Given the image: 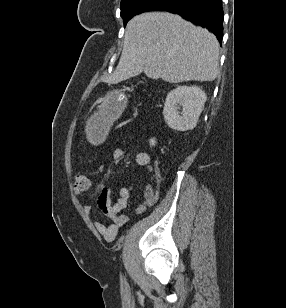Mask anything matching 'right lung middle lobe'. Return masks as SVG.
Segmentation results:
<instances>
[{
  "label": "right lung middle lobe",
  "mask_w": 286,
  "mask_h": 308,
  "mask_svg": "<svg viewBox=\"0 0 286 308\" xmlns=\"http://www.w3.org/2000/svg\"><path fill=\"white\" fill-rule=\"evenodd\" d=\"M168 0H123L121 1V17L124 26L135 15L153 11Z\"/></svg>",
  "instance_id": "1"
}]
</instances>
